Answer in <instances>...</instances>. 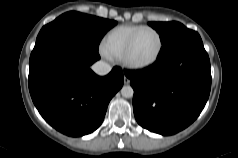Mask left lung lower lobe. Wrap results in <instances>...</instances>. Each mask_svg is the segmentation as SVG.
Instances as JSON below:
<instances>
[{
	"label": "left lung lower lobe",
	"mask_w": 238,
	"mask_h": 158,
	"mask_svg": "<svg viewBox=\"0 0 238 158\" xmlns=\"http://www.w3.org/2000/svg\"><path fill=\"white\" fill-rule=\"evenodd\" d=\"M125 75L134 89L137 122L162 135L189 126L204 108L211 89L210 60L200 37L159 54L152 66Z\"/></svg>",
	"instance_id": "1"
}]
</instances>
